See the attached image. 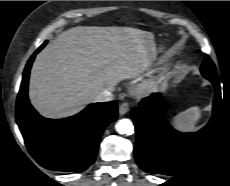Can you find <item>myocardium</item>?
<instances>
[{
    "label": "myocardium",
    "instance_id": "obj_1",
    "mask_svg": "<svg viewBox=\"0 0 230 186\" xmlns=\"http://www.w3.org/2000/svg\"><path fill=\"white\" fill-rule=\"evenodd\" d=\"M155 87H156L155 83L146 82L138 88V92L140 94H148V93L153 92L155 90Z\"/></svg>",
    "mask_w": 230,
    "mask_h": 186
}]
</instances>
